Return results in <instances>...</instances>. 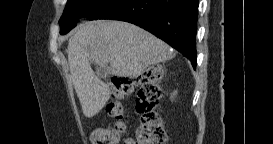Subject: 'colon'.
<instances>
[{
  "label": "colon",
  "instance_id": "obj_1",
  "mask_svg": "<svg viewBox=\"0 0 273 144\" xmlns=\"http://www.w3.org/2000/svg\"><path fill=\"white\" fill-rule=\"evenodd\" d=\"M163 76V70L158 67L150 68L136 78L118 76L111 79V87L114 100L106 106L108 114L115 118L123 115V106L119 98L129 95L135 86H138L137 110L141 115V122L137 128V144H165L167 134L165 132L160 113L157 111L162 90L159 82ZM124 130L122 122L115 126H100L94 129L91 135L93 144H117Z\"/></svg>",
  "mask_w": 273,
  "mask_h": 144
}]
</instances>
